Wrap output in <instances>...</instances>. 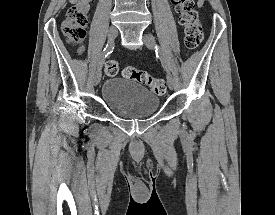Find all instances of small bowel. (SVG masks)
<instances>
[{
    "label": "small bowel",
    "instance_id": "small-bowel-1",
    "mask_svg": "<svg viewBox=\"0 0 275 215\" xmlns=\"http://www.w3.org/2000/svg\"><path fill=\"white\" fill-rule=\"evenodd\" d=\"M204 4V1L203 0H197V5L198 6H202Z\"/></svg>",
    "mask_w": 275,
    "mask_h": 215
}]
</instances>
